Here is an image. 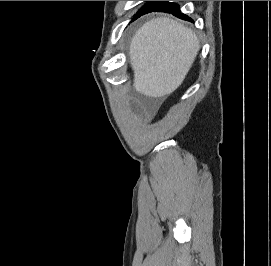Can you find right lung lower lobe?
<instances>
[{"instance_id": "1", "label": "right lung lower lobe", "mask_w": 271, "mask_h": 266, "mask_svg": "<svg viewBox=\"0 0 271 266\" xmlns=\"http://www.w3.org/2000/svg\"><path fill=\"white\" fill-rule=\"evenodd\" d=\"M152 11H154V12L172 13L173 15H175V16L181 18V19L192 21L186 15H183V14L180 13V9H179L178 4L169 3L167 1H161L158 5H156L154 8L148 10L145 13L152 12ZM145 13H143V14H145Z\"/></svg>"}]
</instances>
